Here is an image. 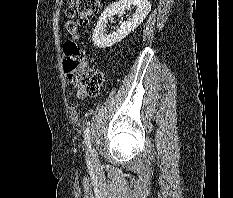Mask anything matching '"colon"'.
Returning <instances> with one entry per match:
<instances>
[{"instance_id": "1", "label": "colon", "mask_w": 233, "mask_h": 198, "mask_svg": "<svg viewBox=\"0 0 233 198\" xmlns=\"http://www.w3.org/2000/svg\"><path fill=\"white\" fill-rule=\"evenodd\" d=\"M98 11L99 0H69V5L65 9L64 30L75 36L78 27L86 25ZM63 48L64 69L73 88L84 94H96L103 84V73L86 64L83 52L73 40H67Z\"/></svg>"}]
</instances>
